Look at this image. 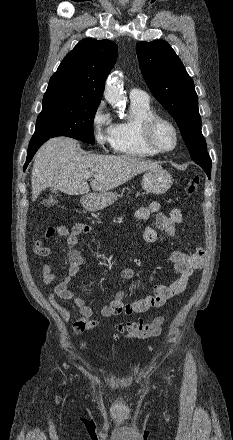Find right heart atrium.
<instances>
[{
  "label": "right heart atrium",
  "instance_id": "obj_1",
  "mask_svg": "<svg viewBox=\"0 0 233 440\" xmlns=\"http://www.w3.org/2000/svg\"><path fill=\"white\" fill-rule=\"evenodd\" d=\"M92 131L94 140L100 147L112 146L113 123L110 113L103 102L99 103L92 115Z\"/></svg>",
  "mask_w": 233,
  "mask_h": 440
}]
</instances>
